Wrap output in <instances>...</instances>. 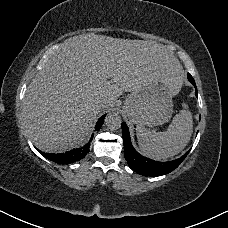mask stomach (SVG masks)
Returning a JSON list of instances; mask_svg holds the SVG:
<instances>
[{
  "instance_id": "1",
  "label": "stomach",
  "mask_w": 228,
  "mask_h": 228,
  "mask_svg": "<svg viewBox=\"0 0 228 228\" xmlns=\"http://www.w3.org/2000/svg\"><path fill=\"white\" fill-rule=\"evenodd\" d=\"M173 93L166 79L157 78L133 91L124 103L129 119L146 127L162 125L173 113Z\"/></svg>"
}]
</instances>
